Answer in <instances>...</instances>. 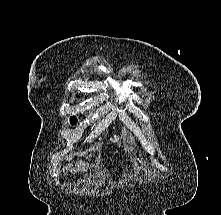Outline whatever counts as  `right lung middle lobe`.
<instances>
[{
	"mask_svg": "<svg viewBox=\"0 0 221 215\" xmlns=\"http://www.w3.org/2000/svg\"><path fill=\"white\" fill-rule=\"evenodd\" d=\"M70 121H71V124L74 125L76 123V118L75 117H71Z\"/></svg>",
	"mask_w": 221,
	"mask_h": 215,
	"instance_id": "right-lung-middle-lobe-1",
	"label": "right lung middle lobe"
}]
</instances>
